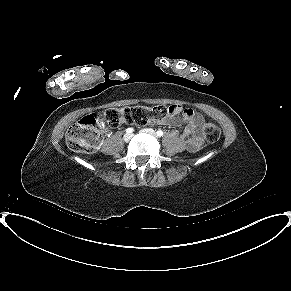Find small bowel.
<instances>
[{
	"instance_id": "c3829d8e",
	"label": "small bowel",
	"mask_w": 291,
	"mask_h": 291,
	"mask_svg": "<svg viewBox=\"0 0 291 291\" xmlns=\"http://www.w3.org/2000/svg\"><path fill=\"white\" fill-rule=\"evenodd\" d=\"M178 107L181 109V117L168 116L161 121L153 120L151 122L162 123L171 127H179L184 124L185 128L181 135V140L189 152H196L204 144L203 117L191 108Z\"/></svg>"
}]
</instances>
